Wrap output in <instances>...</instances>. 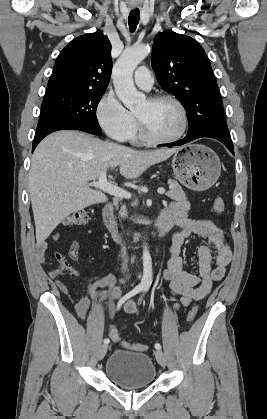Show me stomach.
I'll return each mask as SVG.
<instances>
[{
    "label": "stomach",
    "instance_id": "1",
    "mask_svg": "<svg viewBox=\"0 0 267 419\" xmlns=\"http://www.w3.org/2000/svg\"><path fill=\"white\" fill-rule=\"evenodd\" d=\"M172 168L181 184L194 191H204L219 178L221 163L211 148L202 144H188L174 153Z\"/></svg>",
    "mask_w": 267,
    "mask_h": 419
}]
</instances>
